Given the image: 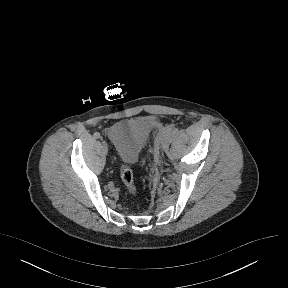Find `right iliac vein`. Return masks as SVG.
<instances>
[{"mask_svg": "<svg viewBox=\"0 0 288 288\" xmlns=\"http://www.w3.org/2000/svg\"><path fill=\"white\" fill-rule=\"evenodd\" d=\"M102 148H103L105 153L108 152V146H107V144L105 142H102Z\"/></svg>", "mask_w": 288, "mask_h": 288, "instance_id": "right-iliac-vein-1", "label": "right iliac vein"}]
</instances>
